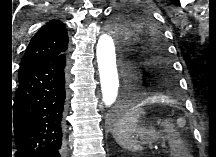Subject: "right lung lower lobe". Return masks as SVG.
<instances>
[{
    "instance_id": "right-lung-lower-lobe-1",
    "label": "right lung lower lobe",
    "mask_w": 216,
    "mask_h": 157,
    "mask_svg": "<svg viewBox=\"0 0 216 157\" xmlns=\"http://www.w3.org/2000/svg\"><path fill=\"white\" fill-rule=\"evenodd\" d=\"M66 67L62 54L19 77L11 117V157H62Z\"/></svg>"
}]
</instances>
